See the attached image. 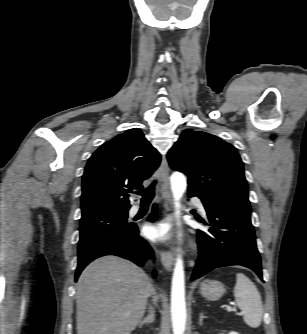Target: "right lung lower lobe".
Instances as JSON below:
<instances>
[{"label": "right lung lower lobe", "mask_w": 307, "mask_h": 334, "mask_svg": "<svg viewBox=\"0 0 307 334\" xmlns=\"http://www.w3.org/2000/svg\"><path fill=\"white\" fill-rule=\"evenodd\" d=\"M156 208L150 217L154 221ZM116 255L128 259L138 266H143L146 260L153 257V251L150 245L139 236L137 226L123 237L110 238L97 242L79 253L78 266L75 274V280L78 279L81 271L94 259L105 256ZM156 276V272H153Z\"/></svg>", "instance_id": "obj_1"}]
</instances>
